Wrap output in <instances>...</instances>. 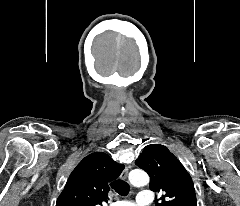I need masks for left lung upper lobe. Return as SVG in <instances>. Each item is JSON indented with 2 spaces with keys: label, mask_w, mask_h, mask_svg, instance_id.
Returning a JSON list of instances; mask_svg holds the SVG:
<instances>
[{
  "label": "left lung upper lobe",
  "mask_w": 240,
  "mask_h": 206,
  "mask_svg": "<svg viewBox=\"0 0 240 206\" xmlns=\"http://www.w3.org/2000/svg\"><path fill=\"white\" fill-rule=\"evenodd\" d=\"M135 163L149 174L150 189L163 192L156 206H197L189 173L167 147L148 145Z\"/></svg>",
  "instance_id": "1"
}]
</instances>
